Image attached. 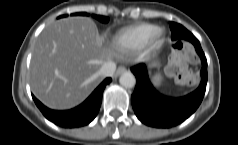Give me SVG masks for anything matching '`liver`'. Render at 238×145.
<instances>
[{"label":"liver","instance_id":"liver-1","mask_svg":"<svg viewBox=\"0 0 238 145\" xmlns=\"http://www.w3.org/2000/svg\"><path fill=\"white\" fill-rule=\"evenodd\" d=\"M115 54L88 17H68L47 26L33 49L29 82L33 94L52 109L84 101L103 76L101 66Z\"/></svg>","mask_w":238,"mask_h":145}]
</instances>
